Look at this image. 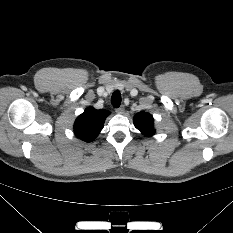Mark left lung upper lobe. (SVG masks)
Masks as SVG:
<instances>
[{
  "mask_svg": "<svg viewBox=\"0 0 233 233\" xmlns=\"http://www.w3.org/2000/svg\"><path fill=\"white\" fill-rule=\"evenodd\" d=\"M135 127L145 136H152L155 133L154 119L146 112L138 113L134 116Z\"/></svg>",
  "mask_w": 233,
  "mask_h": 233,
  "instance_id": "1",
  "label": "left lung upper lobe"
}]
</instances>
